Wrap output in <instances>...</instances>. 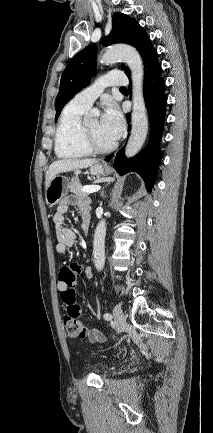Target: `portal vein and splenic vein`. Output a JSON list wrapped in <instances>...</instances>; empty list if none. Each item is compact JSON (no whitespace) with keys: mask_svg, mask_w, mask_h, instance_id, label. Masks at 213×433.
I'll return each instance as SVG.
<instances>
[{"mask_svg":"<svg viewBox=\"0 0 213 433\" xmlns=\"http://www.w3.org/2000/svg\"><path fill=\"white\" fill-rule=\"evenodd\" d=\"M100 186H97V185H93V186H84L83 188H82V191L83 192H86V193H94V192H97V191H99L100 190Z\"/></svg>","mask_w":213,"mask_h":433,"instance_id":"18ae733b","label":"portal vein and splenic vein"}]
</instances>
